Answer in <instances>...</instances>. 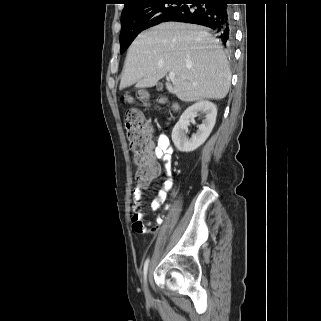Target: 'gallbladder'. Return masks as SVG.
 Segmentation results:
<instances>
[{
	"instance_id": "bac80fb5",
	"label": "gallbladder",
	"mask_w": 321,
	"mask_h": 321,
	"mask_svg": "<svg viewBox=\"0 0 321 321\" xmlns=\"http://www.w3.org/2000/svg\"><path fill=\"white\" fill-rule=\"evenodd\" d=\"M163 88V84L162 83H158L157 84V90H162Z\"/></svg>"
}]
</instances>
